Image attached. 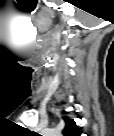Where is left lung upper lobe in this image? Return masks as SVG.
I'll return each mask as SVG.
<instances>
[{
    "label": "left lung upper lobe",
    "mask_w": 114,
    "mask_h": 136,
    "mask_svg": "<svg viewBox=\"0 0 114 136\" xmlns=\"http://www.w3.org/2000/svg\"><path fill=\"white\" fill-rule=\"evenodd\" d=\"M65 121V128L63 130V134L65 136H80L81 130L76 126L73 119L63 117Z\"/></svg>",
    "instance_id": "1"
}]
</instances>
